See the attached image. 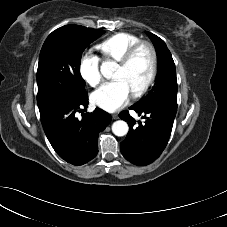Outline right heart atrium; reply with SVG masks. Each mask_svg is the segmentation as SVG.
<instances>
[{
    "mask_svg": "<svg viewBox=\"0 0 227 227\" xmlns=\"http://www.w3.org/2000/svg\"><path fill=\"white\" fill-rule=\"evenodd\" d=\"M79 72L83 80L92 87L98 86L102 81L100 60L90 52H85L81 56Z\"/></svg>",
    "mask_w": 227,
    "mask_h": 227,
    "instance_id": "1",
    "label": "right heart atrium"
}]
</instances>
